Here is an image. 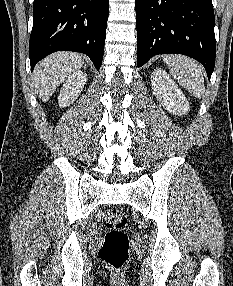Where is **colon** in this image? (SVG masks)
Segmentation results:
<instances>
[{"label":"colon","mask_w":233,"mask_h":286,"mask_svg":"<svg viewBox=\"0 0 233 286\" xmlns=\"http://www.w3.org/2000/svg\"><path fill=\"white\" fill-rule=\"evenodd\" d=\"M102 223L108 232L99 249V257L111 270L120 271L129 259V241L124 231L127 218L122 211L109 209L104 213Z\"/></svg>","instance_id":"obj_1"}]
</instances>
